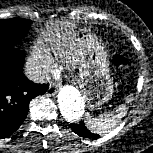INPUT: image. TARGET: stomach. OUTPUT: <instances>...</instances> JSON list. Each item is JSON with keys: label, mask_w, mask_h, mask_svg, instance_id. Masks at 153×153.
Returning <instances> with one entry per match:
<instances>
[{"label": "stomach", "mask_w": 153, "mask_h": 153, "mask_svg": "<svg viewBox=\"0 0 153 153\" xmlns=\"http://www.w3.org/2000/svg\"><path fill=\"white\" fill-rule=\"evenodd\" d=\"M75 40L81 52L78 83L91 109L101 107L113 95V79L104 45L86 26L76 29Z\"/></svg>", "instance_id": "0dacf381"}]
</instances>
